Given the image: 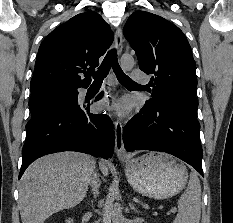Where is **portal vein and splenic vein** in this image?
<instances>
[{
  "label": "portal vein and splenic vein",
  "instance_id": "obj_1",
  "mask_svg": "<svg viewBox=\"0 0 233 223\" xmlns=\"http://www.w3.org/2000/svg\"><path fill=\"white\" fill-rule=\"evenodd\" d=\"M171 211H176V207H172Z\"/></svg>",
  "mask_w": 233,
  "mask_h": 223
}]
</instances>
